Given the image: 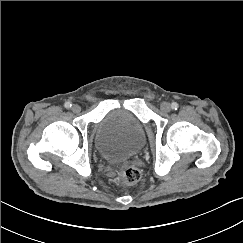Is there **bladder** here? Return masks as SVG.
Listing matches in <instances>:
<instances>
[{"instance_id":"31cf9c89","label":"bladder","mask_w":243,"mask_h":243,"mask_svg":"<svg viewBox=\"0 0 243 243\" xmlns=\"http://www.w3.org/2000/svg\"><path fill=\"white\" fill-rule=\"evenodd\" d=\"M145 131L140 120L124 108L108 110L98 123L95 148L108 161H124L145 145Z\"/></svg>"}]
</instances>
